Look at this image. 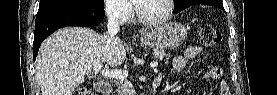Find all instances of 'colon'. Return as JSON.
Instances as JSON below:
<instances>
[{"instance_id": "colon-1", "label": "colon", "mask_w": 277, "mask_h": 95, "mask_svg": "<svg viewBox=\"0 0 277 95\" xmlns=\"http://www.w3.org/2000/svg\"><path fill=\"white\" fill-rule=\"evenodd\" d=\"M222 42L221 34L212 26H201L199 28V43L201 47L211 48L218 46ZM76 95H91L93 94L90 90L84 87H78L75 90Z\"/></svg>"}]
</instances>
